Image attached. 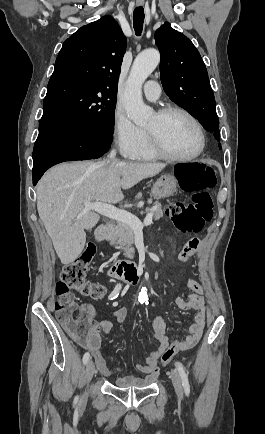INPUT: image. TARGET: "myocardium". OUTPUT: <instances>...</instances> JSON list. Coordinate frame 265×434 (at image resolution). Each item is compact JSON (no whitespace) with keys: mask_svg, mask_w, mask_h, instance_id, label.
<instances>
[{"mask_svg":"<svg viewBox=\"0 0 265 434\" xmlns=\"http://www.w3.org/2000/svg\"><path fill=\"white\" fill-rule=\"evenodd\" d=\"M174 112H178V113L185 115L196 127V130H197L198 136H199L198 149L193 154L188 155V156H179V155L173 154L162 143L161 130L159 127L147 128V132L149 134L152 147H153L154 151L156 152V154L165 160L173 161V162H190V161H193V160L197 159L198 157H200L205 150L206 136H205L204 128H203L202 124L200 123V121L190 111H188L187 109H185L181 106H178V105L164 106L157 112L156 116L158 118V121L161 123L166 119V117L169 114L174 113Z\"/></svg>","mask_w":265,"mask_h":434,"instance_id":"f54148a6","label":"myocardium"}]
</instances>
